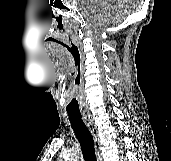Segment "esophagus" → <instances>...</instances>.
<instances>
[{
  "mask_svg": "<svg viewBox=\"0 0 171 161\" xmlns=\"http://www.w3.org/2000/svg\"><path fill=\"white\" fill-rule=\"evenodd\" d=\"M82 118L92 133L97 161H102L103 158H102L101 147H100L101 144H100L99 134L94 118L88 112H82Z\"/></svg>",
  "mask_w": 171,
  "mask_h": 161,
  "instance_id": "1",
  "label": "esophagus"
}]
</instances>
